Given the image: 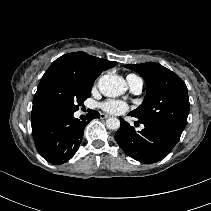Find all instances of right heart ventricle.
Listing matches in <instances>:
<instances>
[{
	"label": "right heart ventricle",
	"instance_id": "1",
	"mask_svg": "<svg viewBox=\"0 0 211 211\" xmlns=\"http://www.w3.org/2000/svg\"><path fill=\"white\" fill-rule=\"evenodd\" d=\"M137 76L135 75H129L127 78H136Z\"/></svg>",
	"mask_w": 211,
	"mask_h": 211
}]
</instances>
